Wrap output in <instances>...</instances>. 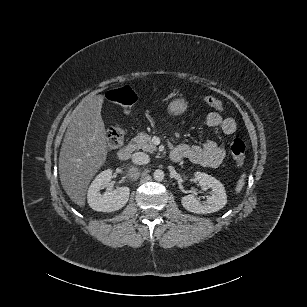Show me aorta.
<instances>
[{
    "label": "aorta",
    "instance_id": "obj_1",
    "mask_svg": "<svg viewBox=\"0 0 307 307\" xmlns=\"http://www.w3.org/2000/svg\"><path fill=\"white\" fill-rule=\"evenodd\" d=\"M164 176V171L160 169L155 170L153 173V177L156 181H162L164 179Z\"/></svg>",
    "mask_w": 307,
    "mask_h": 307
}]
</instances>
